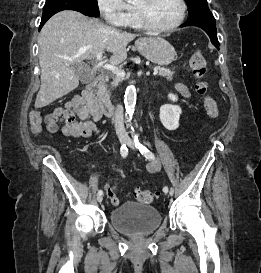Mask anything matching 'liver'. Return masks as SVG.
Masks as SVG:
<instances>
[{
  "mask_svg": "<svg viewBox=\"0 0 261 273\" xmlns=\"http://www.w3.org/2000/svg\"><path fill=\"white\" fill-rule=\"evenodd\" d=\"M136 37L76 11L53 15L39 35L41 87L35 107H45L79 86L80 78L72 69L74 63L92 60L106 50L112 53L110 63L118 65L126 60V46Z\"/></svg>",
  "mask_w": 261,
  "mask_h": 273,
  "instance_id": "liver-1",
  "label": "liver"
}]
</instances>
